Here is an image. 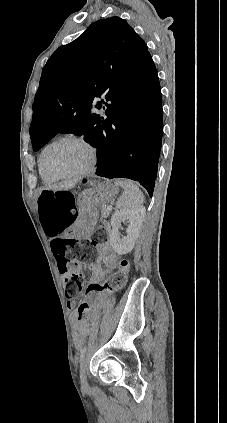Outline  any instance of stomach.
<instances>
[{"label":"stomach","mask_w":227,"mask_h":423,"mask_svg":"<svg viewBox=\"0 0 227 423\" xmlns=\"http://www.w3.org/2000/svg\"><path fill=\"white\" fill-rule=\"evenodd\" d=\"M116 194H118V188L113 186L111 182H100V184H96L93 188L82 192L80 198L82 202L91 204L95 208V206H104V204L112 202Z\"/></svg>","instance_id":"1"}]
</instances>
